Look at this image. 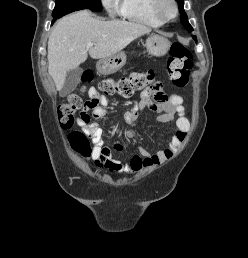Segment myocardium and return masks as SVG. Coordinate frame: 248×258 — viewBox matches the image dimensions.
I'll list each match as a JSON object with an SVG mask.
<instances>
[{
    "label": "myocardium",
    "mask_w": 248,
    "mask_h": 258,
    "mask_svg": "<svg viewBox=\"0 0 248 258\" xmlns=\"http://www.w3.org/2000/svg\"><path fill=\"white\" fill-rule=\"evenodd\" d=\"M169 4L172 7V14H166L163 5ZM152 11L163 23L173 21L179 13L176 0H152Z\"/></svg>",
    "instance_id": "obj_1"
}]
</instances>
